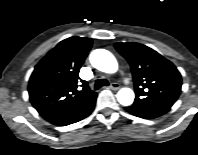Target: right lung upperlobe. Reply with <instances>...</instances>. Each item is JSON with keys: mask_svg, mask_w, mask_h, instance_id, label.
Instances as JSON below:
<instances>
[{"mask_svg": "<svg viewBox=\"0 0 198 155\" xmlns=\"http://www.w3.org/2000/svg\"><path fill=\"white\" fill-rule=\"evenodd\" d=\"M92 47V39L70 37L57 44L35 67L28 85L30 101L45 118L68 110L95 93L82 80L79 70Z\"/></svg>", "mask_w": 198, "mask_h": 155, "instance_id": "obj_1", "label": "right lung upper lobe"}]
</instances>
